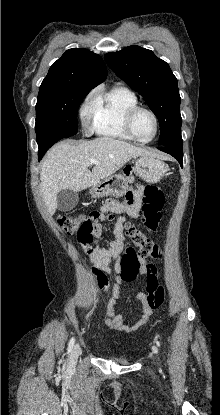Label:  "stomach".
<instances>
[{"instance_id":"stomach-1","label":"stomach","mask_w":220,"mask_h":415,"mask_svg":"<svg viewBox=\"0 0 220 415\" xmlns=\"http://www.w3.org/2000/svg\"><path fill=\"white\" fill-rule=\"evenodd\" d=\"M166 165L154 156H141L135 162L136 175L148 183H156L164 176ZM128 189V178L122 174L112 175L92 186L93 197L123 196Z\"/></svg>"}]
</instances>
